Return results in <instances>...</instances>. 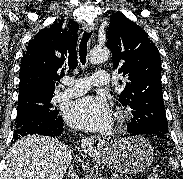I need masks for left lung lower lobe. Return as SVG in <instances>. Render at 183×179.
Masks as SVG:
<instances>
[{"mask_svg":"<svg viewBox=\"0 0 183 179\" xmlns=\"http://www.w3.org/2000/svg\"><path fill=\"white\" fill-rule=\"evenodd\" d=\"M128 132H129L131 135L137 134V133L131 132V130H130L129 128H128ZM158 137H162V138H164L165 140H169V138H168L167 136H158Z\"/></svg>","mask_w":183,"mask_h":179,"instance_id":"0a47b994","label":"left lung lower lobe"}]
</instances>
